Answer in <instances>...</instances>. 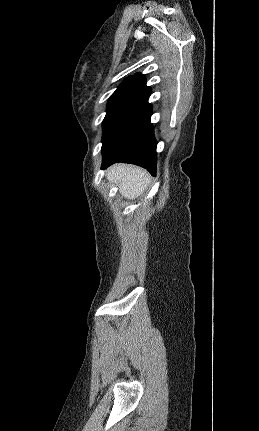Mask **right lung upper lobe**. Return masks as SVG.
I'll use <instances>...</instances> for the list:
<instances>
[{"instance_id":"obj_1","label":"right lung upper lobe","mask_w":259,"mask_h":431,"mask_svg":"<svg viewBox=\"0 0 259 431\" xmlns=\"http://www.w3.org/2000/svg\"><path fill=\"white\" fill-rule=\"evenodd\" d=\"M129 87L140 88L143 90L151 91L150 87L146 86L145 77L142 74L129 76L120 84V86L117 88L115 92H121Z\"/></svg>"}]
</instances>
